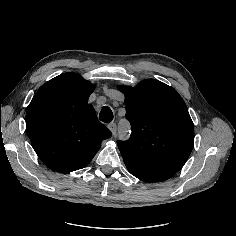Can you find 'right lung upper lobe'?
I'll return each mask as SVG.
<instances>
[{
	"label": "right lung upper lobe",
	"mask_w": 236,
	"mask_h": 236,
	"mask_svg": "<svg viewBox=\"0 0 236 236\" xmlns=\"http://www.w3.org/2000/svg\"><path fill=\"white\" fill-rule=\"evenodd\" d=\"M95 85L76 73L61 74L34 95L26 131L40 160L69 173L85 167L112 133L100 123L88 98Z\"/></svg>",
	"instance_id": "obj_1"
}]
</instances>
